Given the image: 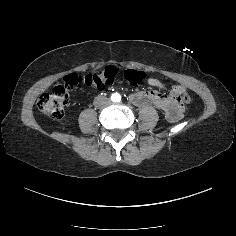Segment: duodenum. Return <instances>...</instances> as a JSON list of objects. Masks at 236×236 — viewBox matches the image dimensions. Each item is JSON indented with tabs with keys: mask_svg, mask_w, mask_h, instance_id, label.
Instances as JSON below:
<instances>
[{
	"mask_svg": "<svg viewBox=\"0 0 236 236\" xmlns=\"http://www.w3.org/2000/svg\"><path fill=\"white\" fill-rule=\"evenodd\" d=\"M131 100L139 106L148 104L156 105L166 113V116L170 121H177L182 114V105L176 96L165 98L157 93L141 92L134 94L131 97Z\"/></svg>",
	"mask_w": 236,
	"mask_h": 236,
	"instance_id": "1",
	"label": "duodenum"
}]
</instances>
